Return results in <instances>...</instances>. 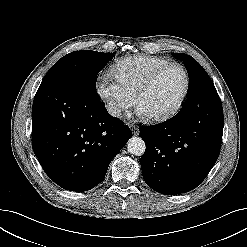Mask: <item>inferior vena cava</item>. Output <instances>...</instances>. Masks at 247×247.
Here are the masks:
<instances>
[{
	"label": "inferior vena cava",
	"instance_id": "inferior-vena-cava-1",
	"mask_svg": "<svg viewBox=\"0 0 247 247\" xmlns=\"http://www.w3.org/2000/svg\"><path fill=\"white\" fill-rule=\"evenodd\" d=\"M107 111L113 116H119L121 114V109L115 104L107 105Z\"/></svg>",
	"mask_w": 247,
	"mask_h": 247
}]
</instances>
